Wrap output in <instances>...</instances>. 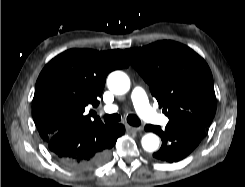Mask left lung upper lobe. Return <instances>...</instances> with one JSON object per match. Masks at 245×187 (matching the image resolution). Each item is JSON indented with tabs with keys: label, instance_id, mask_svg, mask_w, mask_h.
<instances>
[{
	"label": "left lung upper lobe",
	"instance_id": "left-lung-upper-lobe-1",
	"mask_svg": "<svg viewBox=\"0 0 245 187\" xmlns=\"http://www.w3.org/2000/svg\"><path fill=\"white\" fill-rule=\"evenodd\" d=\"M171 126H210L216 111L211 71L195 51L174 41L126 49Z\"/></svg>",
	"mask_w": 245,
	"mask_h": 187
}]
</instances>
